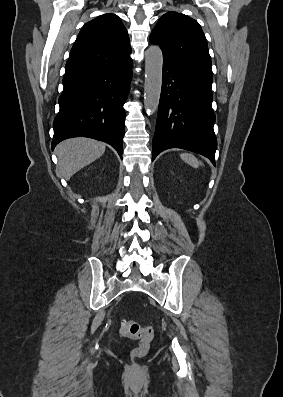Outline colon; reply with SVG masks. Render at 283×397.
Here are the masks:
<instances>
[{
    "label": "colon",
    "instance_id": "colon-1",
    "mask_svg": "<svg viewBox=\"0 0 283 397\" xmlns=\"http://www.w3.org/2000/svg\"><path fill=\"white\" fill-rule=\"evenodd\" d=\"M120 333L128 338L140 341L138 347L133 350L136 357H142L147 354L150 342L153 339L154 331L149 326H143L132 320H122L120 323Z\"/></svg>",
    "mask_w": 283,
    "mask_h": 397
}]
</instances>
